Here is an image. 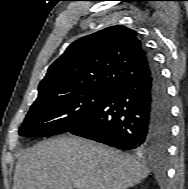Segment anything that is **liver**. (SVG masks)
I'll return each mask as SVG.
<instances>
[{"label":"liver","mask_w":188,"mask_h":189,"mask_svg":"<svg viewBox=\"0 0 188 189\" xmlns=\"http://www.w3.org/2000/svg\"><path fill=\"white\" fill-rule=\"evenodd\" d=\"M148 173L135 158L113 148L63 136L22 152L13 189H126L140 183Z\"/></svg>","instance_id":"1"}]
</instances>
